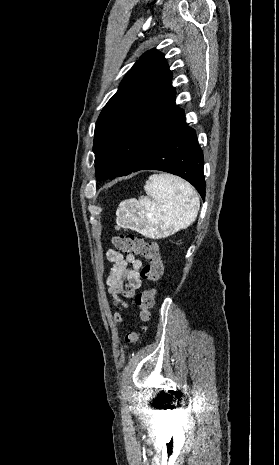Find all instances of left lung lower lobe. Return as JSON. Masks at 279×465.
Segmentation results:
<instances>
[{"instance_id":"obj_1","label":"left lung lower lobe","mask_w":279,"mask_h":465,"mask_svg":"<svg viewBox=\"0 0 279 465\" xmlns=\"http://www.w3.org/2000/svg\"><path fill=\"white\" fill-rule=\"evenodd\" d=\"M203 153L195 131L183 116L172 131L132 170H160L178 175L190 182L205 197ZM131 172V173H132Z\"/></svg>"}]
</instances>
